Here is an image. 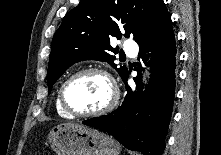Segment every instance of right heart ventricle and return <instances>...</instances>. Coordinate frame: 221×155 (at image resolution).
Returning a JSON list of instances; mask_svg holds the SVG:
<instances>
[{"label": "right heart ventricle", "mask_w": 221, "mask_h": 155, "mask_svg": "<svg viewBox=\"0 0 221 155\" xmlns=\"http://www.w3.org/2000/svg\"><path fill=\"white\" fill-rule=\"evenodd\" d=\"M55 105H56V110L58 112V114L62 117H66V118H71L72 116L69 115L60 105V102H59V92L57 94V97H56V101H55Z\"/></svg>", "instance_id": "right-heart-ventricle-1"}]
</instances>
